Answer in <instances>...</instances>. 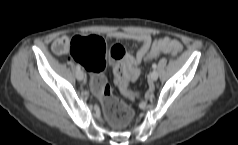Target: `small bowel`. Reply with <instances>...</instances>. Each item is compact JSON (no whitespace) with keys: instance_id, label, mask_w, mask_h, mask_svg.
Segmentation results:
<instances>
[{"instance_id":"small-bowel-1","label":"small bowel","mask_w":238,"mask_h":145,"mask_svg":"<svg viewBox=\"0 0 238 145\" xmlns=\"http://www.w3.org/2000/svg\"><path fill=\"white\" fill-rule=\"evenodd\" d=\"M112 38L119 39V40H135L141 43V47L137 51L135 55L126 54L122 60V64L125 66L127 70V75L129 80L135 81L140 76V63L147 57L149 49L152 45V37L146 33H130L124 31H114L110 34ZM70 38L62 36L57 38L52 44V50L57 55H63L68 53V42ZM164 40L168 43H172L177 48L181 49V44L170 37H162L159 38L157 41ZM156 41V42H157ZM155 42V43H156ZM161 53H168L167 51H160ZM158 54V55H159Z\"/></svg>"}]
</instances>
